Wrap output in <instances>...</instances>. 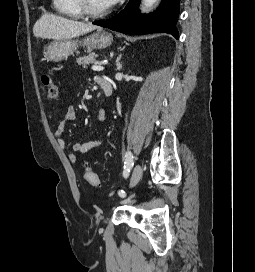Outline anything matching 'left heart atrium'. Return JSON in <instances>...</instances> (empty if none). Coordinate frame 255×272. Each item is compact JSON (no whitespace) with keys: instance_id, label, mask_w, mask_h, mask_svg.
Here are the masks:
<instances>
[{"instance_id":"39dd6f15","label":"left heart atrium","mask_w":255,"mask_h":272,"mask_svg":"<svg viewBox=\"0 0 255 272\" xmlns=\"http://www.w3.org/2000/svg\"><path fill=\"white\" fill-rule=\"evenodd\" d=\"M120 0H105L108 7L114 6L116 3H118Z\"/></svg>"}]
</instances>
